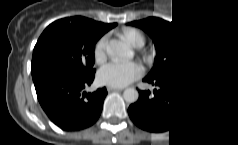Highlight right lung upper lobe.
I'll return each instance as SVG.
<instances>
[{
  "instance_id": "1",
  "label": "right lung upper lobe",
  "mask_w": 238,
  "mask_h": 145,
  "mask_svg": "<svg viewBox=\"0 0 238 145\" xmlns=\"http://www.w3.org/2000/svg\"><path fill=\"white\" fill-rule=\"evenodd\" d=\"M82 19L87 20L88 22L91 23V25L97 29L98 31H100L101 33L105 34L106 32H108L110 29L114 28L117 23H111V24H105V23H101V22H97L88 18H84V17H79Z\"/></svg>"
}]
</instances>
